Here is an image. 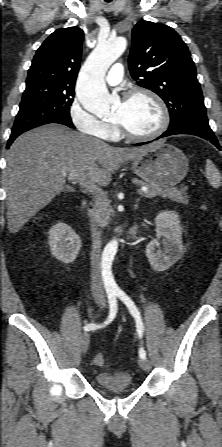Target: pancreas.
<instances>
[{"instance_id": "cf45deb5", "label": "pancreas", "mask_w": 222, "mask_h": 447, "mask_svg": "<svg viewBox=\"0 0 222 447\" xmlns=\"http://www.w3.org/2000/svg\"><path fill=\"white\" fill-rule=\"evenodd\" d=\"M148 188V192L140 193L142 196L147 198H152L156 196H161L163 198H168L174 202L187 204L188 196L186 194L187 187L177 188H163L156 184H150L146 182H139ZM95 205L93 209L90 210V216L96 221L100 222L102 225H106L110 218L109 203L107 198L99 194L95 196Z\"/></svg>"}]
</instances>
